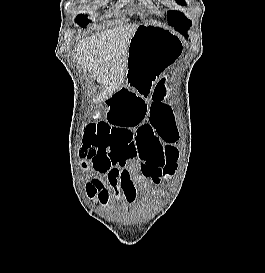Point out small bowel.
<instances>
[{
	"label": "small bowel",
	"instance_id": "obj_1",
	"mask_svg": "<svg viewBox=\"0 0 265 273\" xmlns=\"http://www.w3.org/2000/svg\"><path fill=\"white\" fill-rule=\"evenodd\" d=\"M142 95L118 92L107 101L105 120L87 124V129H106L110 144L98 155L86 153L87 164L104 179H94L92 184L98 192V200L107 206L111 196L122 197L134 204L137 193L131 179L137 173L139 179H149L159 184L165 165L164 148L168 145L159 139V132L143 122L146 111ZM113 123V124H112ZM136 124H139L137 129ZM172 145V143H169Z\"/></svg>",
	"mask_w": 265,
	"mask_h": 273
}]
</instances>
